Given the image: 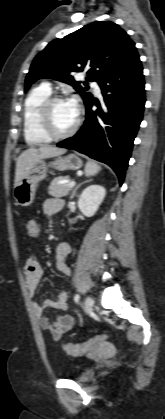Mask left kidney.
Listing matches in <instances>:
<instances>
[{"label":"left kidney","mask_w":165,"mask_h":419,"mask_svg":"<svg viewBox=\"0 0 165 419\" xmlns=\"http://www.w3.org/2000/svg\"><path fill=\"white\" fill-rule=\"evenodd\" d=\"M106 190L100 185H90L79 196L78 206L86 217H92L104 200Z\"/></svg>","instance_id":"obj_1"}]
</instances>
